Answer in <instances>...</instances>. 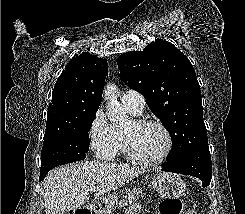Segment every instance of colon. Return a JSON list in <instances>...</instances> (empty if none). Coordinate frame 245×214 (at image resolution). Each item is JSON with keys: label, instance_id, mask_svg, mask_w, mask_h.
Masks as SVG:
<instances>
[{"label": "colon", "instance_id": "1", "mask_svg": "<svg viewBox=\"0 0 245 214\" xmlns=\"http://www.w3.org/2000/svg\"><path fill=\"white\" fill-rule=\"evenodd\" d=\"M160 214H195L192 209H183L179 199H166L159 206ZM87 214H90L89 212Z\"/></svg>", "mask_w": 245, "mask_h": 214}]
</instances>
